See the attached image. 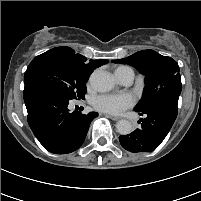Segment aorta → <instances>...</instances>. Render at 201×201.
<instances>
[{
    "label": "aorta",
    "instance_id": "obj_1",
    "mask_svg": "<svg viewBox=\"0 0 201 201\" xmlns=\"http://www.w3.org/2000/svg\"><path fill=\"white\" fill-rule=\"evenodd\" d=\"M89 80L93 89L101 93L108 92L114 87L113 77L103 70H95ZM116 129L121 135H128L132 132L133 126L129 120L122 119L117 122Z\"/></svg>",
    "mask_w": 201,
    "mask_h": 201
}]
</instances>
